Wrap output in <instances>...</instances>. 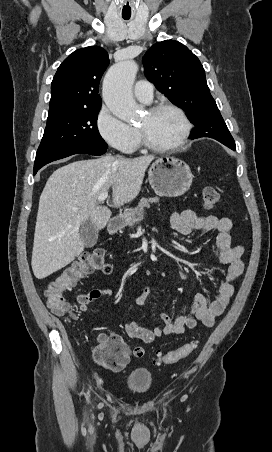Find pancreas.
Listing matches in <instances>:
<instances>
[{
  "instance_id": "1",
  "label": "pancreas",
  "mask_w": 272,
  "mask_h": 452,
  "mask_svg": "<svg viewBox=\"0 0 272 452\" xmlns=\"http://www.w3.org/2000/svg\"><path fill=\"white\" fill-rule=\"evenodd\" d=\"M159 202V198L158 197H152V198H142L139 201L138 206L135 208V213L136 214H142L144 212V208H150V206L154 203H158ZM136 220L132 219L131 221L128 222V226L129 227H133V225L135 224Z\"/></svg>"
}]
</instances>
